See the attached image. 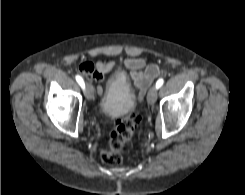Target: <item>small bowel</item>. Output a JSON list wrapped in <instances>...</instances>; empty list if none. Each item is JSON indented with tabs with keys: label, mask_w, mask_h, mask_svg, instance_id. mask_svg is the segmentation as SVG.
<instances>
[{
	"label": "small bowel",
	"mask_w": 245,
	"mask_h": 195,
	"mask_svg": "<svg viewBox=\"0 0 245 195\" xmlns=\"http://www.w3.org/2000/svg\"><path fill=\"white\" fill-rule=\"evenodd\" d=\"M114 61H97L96 63L84 61L80 64V72L91 81L99 83L97 90L102 94V82L106 79L108 73L115 67ZM125 66L130 70V78L135 89L144 93L151 82L159 75L160 68L156 64L147 65L143 58H128L125 60Z\"/></svg>",
	"instance_id": "obj_1"
}]
</instances>
